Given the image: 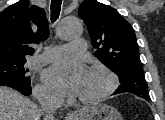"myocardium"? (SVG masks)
I'll list each match as a JSON object with an SVG mask.
<instances>
[{"label": "myocardium", "mask_w": 165, "mask_h": 120, "mask_svg": "<svg viewBox=\"0 0 165 120\" xmlns=\"http://www.w3.org/2000/svg\"><path fill=\"white\" fill-rule=\"evenodd\" d=\"M89 71L100 72L104 74L108 79V84H107V87L100 94L94 97H90V98L78 97L77 98V101L79 103L85 104V105L96 104L103 101L104 99L109 97L118 87V77L115 74V72L111 70L108 66L101 63H96L89 67Z\"/></svg>", "instance_id": "f54148a6"}]
</instances>
